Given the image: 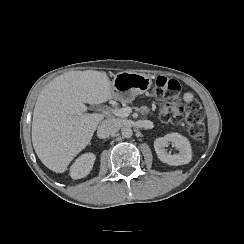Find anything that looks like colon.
Returning <instances> with one entry per match:
<instances>
[{
    "instance_id": "1",
    "label": "colon",
    "mask_w": 244,
    "mask_h": 244,
    "mask_svg": "<svg viewBox=\"0 0 244 244\" xmlns=\"http://www.w3.org/2000/svg\"><path fill=\"white\" fill-rule=\"evenodd\" d=\"M181 85L174 79L157 77L155 79V96L159 101V119L162 122L171 120L174 126L182 123L180 115H184L188 125V132L194 140H201L204 136V110L201 103L194 97L186 102L180 100Z\"/></svg>"
}]
</instances>
